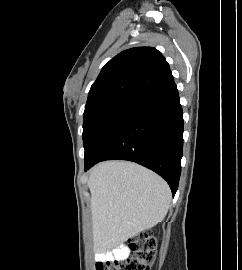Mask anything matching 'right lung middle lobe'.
<instances>
[{"label":"right lung middle lobe","instance_id":"1","mask_svg":"<svg viewBox=\"0 0 242 270\" xmlns=\"http://www.w3.org/2000/svg\"><path fill=\"white\" fill-rule=\"evenodd\" d=\"M137 104L116 101L84 111V161H90Z\"/></svg>","mask_w":242,"mask_h":270}]
</instances>
